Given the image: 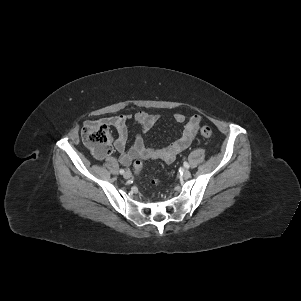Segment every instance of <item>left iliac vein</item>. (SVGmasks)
Listing matches in <instances>:
<instances>
[{
    "instance_id": "left-iliac-vein-1",
    "label": "left iliac vein",
    "mask_w": 301,
    "mask_h": 301,
    "mask_svg": "<svg viewBox=\"0 0 301 301\" xmlns=\"http://www.w3.org/2000/svg\"><path fill=\"white\" fill-rule=\"evenodd\" d=\"M183 177H184L185 179L190 178V177H191L190 171H189V170H184V171H183Z\"/></svg>"
}]
</instances>
